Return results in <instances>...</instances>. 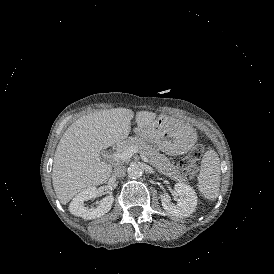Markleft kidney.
I'll return each instance as SVG.
<instances>
[{
  "label": "left kidney",
  "mask_w": 274,
  "mask_h": 274,
  "mask_svg": "<svg viewBox=\"0 0 274 274\" xmlns=\"http://www.w3.org/2000/svg\"><path fill=\"white\" fill-rule=\"evenodd\" d=\"M174 188V193L178 204H172L168 194L160 193L159 198L163 209L170 215L177 218L191 216L197 205L195 192L185 183H177Z\"/></svg>",
  "instance_id": "left-kidney-1"
}]
</instances>
